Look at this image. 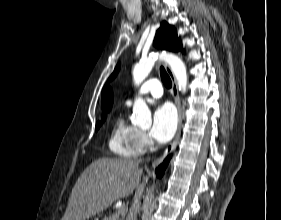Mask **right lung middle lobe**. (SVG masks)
<instances>
[{
	"instance_id": "1",
	"label": "right lung middle lobe",
	"mask_w": 281,
	"mask_h": 220,
	"mask_svg": "<svg viewBox=\"0 0 281 220\" xmlns=\"http://www.w3.org/2000/svg\"><path fill=\"white\" fill-rule=\"evenodd\" d=\"M105 120V116H102V122ZM101 123H97L96 124V131L98 130V128L100 127Z\"/></svg>"
}]
</instances>
